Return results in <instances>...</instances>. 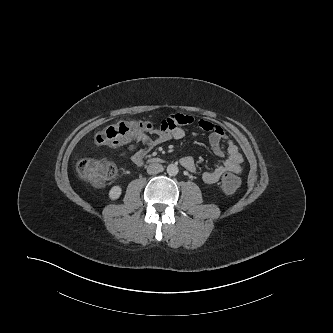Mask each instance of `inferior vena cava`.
<instances>
[{
	"instance_id": "602c4592",
	"label": "inferior vena cava",
	"mask_w": 333,
	"mask_h": 333,
	"mask_svg": "<svg viewBox=\"0 0 333 333\" xmlns=\"http://www.w3.org/2000/svg\"><path fill=\"white\" fill-rule=\"evenodd\" d=\"M163 170H164L163 166L159 163H151L147 167V173L152 175L163 172Z\"/></svg>"
}]
</instances>
